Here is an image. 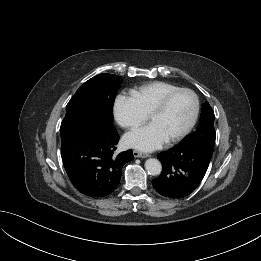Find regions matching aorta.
Returning <instances> with one entry per match:
<instances>
[{"mask_svg": "<svg viewBox=\"0 0 261 261\" xmlns=\"http://www.w3.org/2000/svg\"><path fill=\"white\" fill-rule=\"evenodd\" d=\"M145 169L148 172V174H150L152 176H156L161 173L162 165L159 160L150 158V159H147L145 162Z\"/></svg>", "mask_w": 261, "mask_h": 261, "instance_id": "762f6f07", "label": "aorta"}]
</instances>
